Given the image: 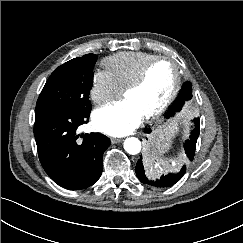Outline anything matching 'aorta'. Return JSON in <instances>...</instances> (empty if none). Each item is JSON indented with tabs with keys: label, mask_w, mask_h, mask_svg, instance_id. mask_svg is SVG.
<instances>
[{
	"label": "aorta",
	"mask_w": 243,
	"mask_h": 243,
	"mask_svg": "<svg viewBox=\"0 0 243 243\" xmlns=\"http://www.w3.org/2000/svg\"><path fill=\"white\" fill-rule=\"evenodd\" d=\"M124 149L128 154L136 155L141 151V142L135 137H129L124 141Z\"/></svg>",
	"instance_id": "obj_1"
}]
</instances>
